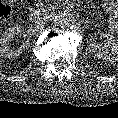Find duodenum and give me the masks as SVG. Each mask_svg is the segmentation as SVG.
<instances>
[{
    "mask_svg": "<svg viewBox=\"0 0 118 118\" xmlns=\"http://www.w3.org/2000/svg\"><path fill=\"white\" fill-rule=\"evenodd\" d=\"M37 14V12H34V15H36Z\"/></svg>",
    "mask_w": 118,
    "mask_h": 118,
    "instance_id": "duodenum-1",
    "label": "duodenum"
}]
</instances>
